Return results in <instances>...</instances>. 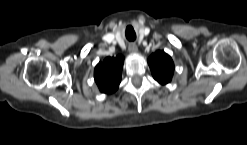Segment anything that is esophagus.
Here are the masks:
<instances>
[{
  "label": "esophagus",
  "mask_w": 247,
  "mask_h": 145,
  "mask_svg": "<svg viewBox=\"0 0 247 145\" xmlns=\"http://www.w3.org/2000/svg\"><path fill=\"white\" fill-rule=\"evenodd\" d=\"M129 51L131 53H136L138 51V48H137V46L135 44L132 43V44L129 45Z\"/></svg>",
  "instance_id": "esophagus-1"
}]
</instances>
